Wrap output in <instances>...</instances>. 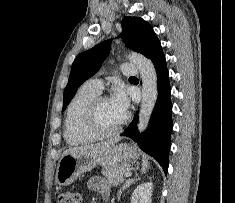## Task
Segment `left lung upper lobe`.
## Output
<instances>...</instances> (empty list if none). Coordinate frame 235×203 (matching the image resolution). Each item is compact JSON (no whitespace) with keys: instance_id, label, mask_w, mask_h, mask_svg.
Masks as SVG:
<instances>
[{"instance_id":"5c2ea615","label":"left lung upper lobe","mask_w":235,"mask_h":203,"mask_svg":"<svg viewBox=\"0 0 235 203\" xmlns=\"http://www.w3.org/2000/svg\"><path fill=\"white\" fill-rule=\"evenodd\" d=\"M122 33L119 35L127 47L145 56L152 46L159 41L151 25L139 17H125L122 22ZM111 40L103 41L93 48L80 53L72 64L68 84L63 94V109L70 103L78 87L92 77L101 67L109 54Z\"/></svg>"}]
</instances>
